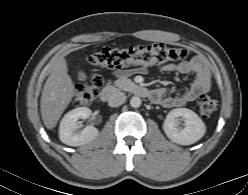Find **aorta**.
<instances>
[{
    "label": "aorta",
    "mask_w": 248,
    "mask_h": 195,
    "mask_svg": "<svg viewBox=\"0 0 248 195\" xmlns=\"http://www.w3.org/2000/svg\"><path fill=\"white\" fill-rule=\"evenodd\" d=\"M130 105L133 107V108H138L140 107L141 105V99L140 97L138 96H134L130 99Z\"/></svg>",
    "instance_id": "obj_1"
}]
</instances>
